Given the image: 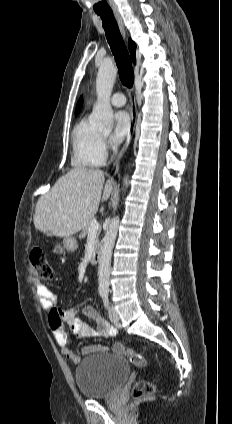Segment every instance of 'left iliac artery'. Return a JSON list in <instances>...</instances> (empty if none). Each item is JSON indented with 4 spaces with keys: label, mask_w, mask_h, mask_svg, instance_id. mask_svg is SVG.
<instances>
[{
    "label": "left iliac artery",
    "mask_w": 232,
    "mask_h": 424,
    "mask_svg": "<svg viewBox=\"0 0 232 424\" xmlns=\"http://www.w3.org/2000/svg\"><path fill=\"white\" fill-rule=\"evenodd\" d=\"M103 302H104V306L108 307L109 301H108V295L107 294L103 295Z\"/></svg>",
    "instance_id": "1"
}]
</instances>
